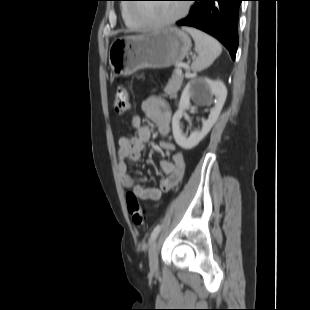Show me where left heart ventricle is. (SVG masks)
<instances>
[{
  "mask_svg": "<svg viewBox=\"0 0 310 310\" xmlns=\"http://www.w3.org/2000/svg\"><path fill=\"white\" fill-rule=\"evenodd\" d=\"M181 9V4L154 3L138 6L135 13L142 18L160 22L176 16Z\"/></svg>",
  "mask_w": 310,
  "mask_h": 310,
  "instance_id": "obj_1",
  "label": "left heart ventricle"
}]
</instances>
